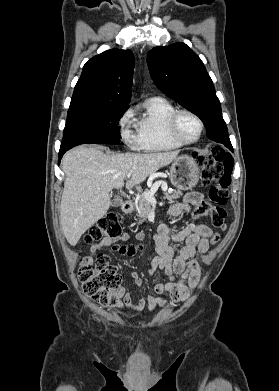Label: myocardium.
I'll use <instances>...</instances> for the list:
<instances>
[{
	"label": "myocardium",
	"instance_id": "obj_1",
	"mask_svg": "<svg viewBox=\"0 0 279 391\" xmlns=\"http://www.w3.org/2000/svg\"><path fill=\"white\" fill-rule=\"evenodd\" d=\"M183 114H188V115L192 116L197 121V123L199 125V133H198L197 137L193 140H185L184 138L181 137V135L178 132V122H179L181 115H183ZM168 131H169L170 137L178 144H180L182 146L192 145V144L198 142L199 139L201 138L203 131H204V123H203L202 119L200 118V116L198 114H196L194 111L187 109V108H177L170 115V117L168 119Z\"/></svg>",
	"mask_w": 279,
	"mask_h": 391
}]
</instances>
